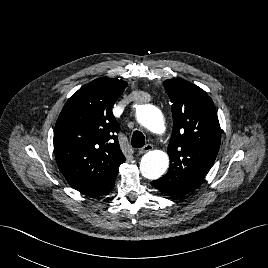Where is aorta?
<instances>
[{
	"label": "aorta",
	"mask_w": 268,
	"mask_h": 268,
	"mask_svg": "<svg viewBox=\"0 0 268 268\" xmlns=\"http://www.w3.org/2000/svg\"><path fill=\"white\" fill-rule=\"evenodd\" d=\"M138 122L155 134H163L165 121L162 112L155 106L142 105L136 112ZM169 157L160 150L146 153L140 162L141 174L150 180L160 178L168 169Z\"/></svg>",
	"instance_id": "1"
}]
</instances>
